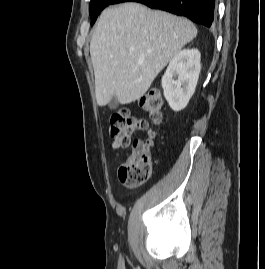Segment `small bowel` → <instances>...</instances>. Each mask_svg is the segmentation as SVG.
Wrapping results in <instances>:
<instances>
[{
	"label": "small bowel",
	"mask_w": 265,
	"mask_h": 269,
	"mask_svg": "<svg viewBox=\"0 0 265 269\" xmlns=\"http://www.w3.org/2000/svg\"><path fill=\"white\" fill-rule=\"evenodd\" d=\"M144 122H145V129L144 130H146L148 128V124H147V122L145 120H144ZM111 146H112V148L114 150L120 149L117 140H114L112 142V145Z\"/></svg>",
	"instance_id": "1"
}]
</instances>
